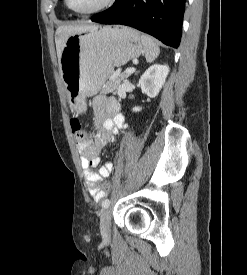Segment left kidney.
Segmentation results:
<instances>
[{"instance_id":"5707ae66","label":"left kidney","mask_w":247,"mask_h":275,"mask_svg":"<svg viewBox=\"0 0 247 275\" xmlns=\"http://www.w3.org/2000/svg\"><path fill=\"white\" fill-rule=\"evenodd\" d=\"M169 71L167 65L154 64L149 67L139 80L142 92L150 98L156 97L164 85ZM141 109V107H134L133 111L139 112Z\"/></svg>"}]
</instances>
